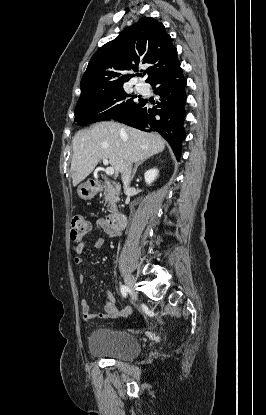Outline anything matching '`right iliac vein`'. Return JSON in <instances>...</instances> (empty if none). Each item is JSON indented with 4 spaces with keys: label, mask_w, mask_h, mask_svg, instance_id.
Segmentation results:
<instances>
[{
    "label": "right iliac vein",
    "mask_w": 266,
    "mask_h": 415,
    "mask_svg": "<svg viewBox=\"0 0 266 415\" xmlns=\"http://www.w3.org/2000/svg\"><path fill=\"white\" fill-rule=\"evenodd\" d=\"M125 283L128 287V289L130 290V292L136 296V291H135V279L131 274H126L125 275Z\"/></svg>",
    "instance_id": "right-iliac-vein-1"
}]
</instances>
